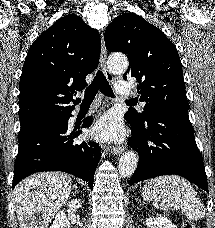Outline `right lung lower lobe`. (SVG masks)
<instances>
[{
    "mask_svg": "<svg viewBox=\"0 0 215 228\" xmlns=\"http://www.w3.org/2000/svg\"><path fill=\"white\" fill-rule=\"evenodd\" d=\"M71 112L65 114L63 123L40 128L19 138L13 188L25 177L42 171L66 172L86 181L93 188L101 152L96 142L76 143L73 140L80 135V131L68 126ZM91 123V117H87L82 127H89Z\"/></svg>",
    "mask_w": 215,
    "mask_h": 228,
    "instance_id": "right-lung-lower-lobe-1",
    "label": "right lung lower lobe"
}]
</instances>
